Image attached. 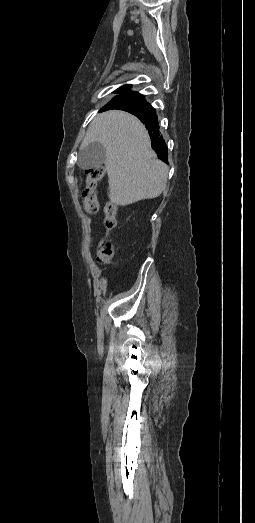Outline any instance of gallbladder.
I'll use <instances>...</instances> for the list:
<instances>
[{
    "mask_svg": "<svg viewBox=\"0 0 255 523\" xmlns=\"http://www.w3.org/2000/svg\"><path fill=\"white\" fill-rule=\"evenodd\" d=\"M106 160V150L100 142H91L82 150H79L77 164L81 170L100 168Z\"/></svg>",
    "mask_w": 255,
    "mask_h": 523,
    "instance_id": "bac80fb5",
    "label": "gallbladder"
}]
</instances>
